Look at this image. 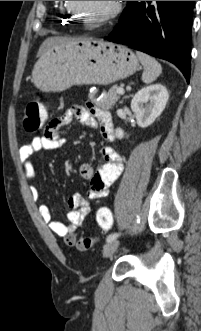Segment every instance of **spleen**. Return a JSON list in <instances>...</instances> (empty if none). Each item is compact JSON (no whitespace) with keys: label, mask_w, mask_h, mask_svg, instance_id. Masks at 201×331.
Wrapping results in <instances>:
<instances>
[{"label":"spleen","mask_w":201,"mask_h":331,"mask_svg":"<svg viewBox=\"0 0 201 331\" xmlns=\"http://www.w3.org/2000/svg\"><path fill=\"white\" fill-rule=\"evenodd\" d=\"M136 54L144 67L142 81L146 84L152 83L162 72L161 64L148 54L140 51H137Z\"/></svg>","instance_id":"spleen-1"}]
</instances>
